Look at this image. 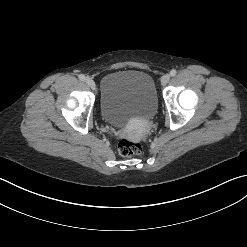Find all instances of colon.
Here are the masks:
<instances>
[{
  "label": "colon",
  "mask_w": 247,
  "mask_h": 247,
  "mask_svg": "<svg viewBox=\"0 0 247 247\" xmlns=\"http://www.w3.org/2000/svg\"><path fill=\"white\" fill-rule=\"evenodd\" d=\"M142 150L140 143L123 139L118 144V152L123 157L138 155Z\"/></svg>",
  "instance_id": "1"
}]
</instances>
